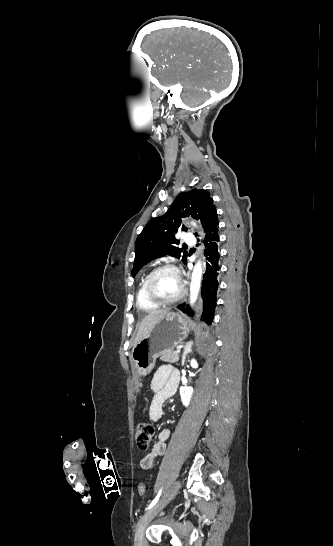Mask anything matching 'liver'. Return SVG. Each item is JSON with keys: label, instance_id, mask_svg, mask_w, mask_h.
<instances>
[{"label": "liver", "instance_id": "obj_1", "mask_svg": "<svg viewBox=\"0 0 333 546\" xmlns=\"http://www.w3.org/2000/svg\"><path fill=\"white\" fill-rule=\"evenodd\" d=\"M169 312V309H159L150 312L148 315H146L137 331V335L134 340V346L141 341L143 338H145L149 332L152 330V328L155 326V324L161 320L167 313Z\"/></svg>", "mask_w": 333, "mask_h": 546}]
</instances>
